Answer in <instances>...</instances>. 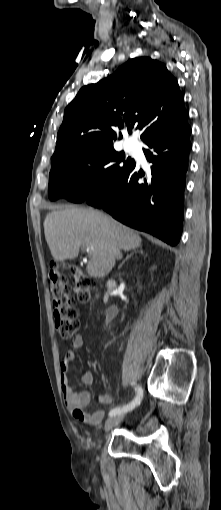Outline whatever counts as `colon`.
<instances>
[{"label":"colon","instance_id":"1","mask_svg":"<svg viewBox=\"0 0 221 510\" xmlns=\"http://www.w3.org/2000/svg\"><path fill=\"white\" fill-rule=\"evenodd\" d=\"M64 269L69 270L74 291L81 302H87L95 289L94 280L86 275L78 264H52L49 269L50 293L55 327L64 340L71 339L79 329L78 311ZM102 402V396L99 398Z\"/></svg>","mask_w":221,"mask_h":510}]
</instances>
